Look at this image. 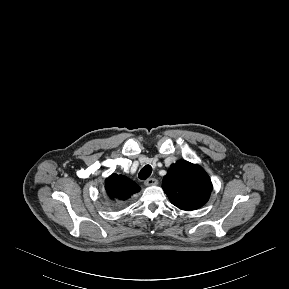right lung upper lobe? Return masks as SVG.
Here are the masks:
<instances>
[{"instance_id": "cb5924a9", "label": "right lung upper lobe", "mask_w": 289, "mask_h": 289, "mask_svg": "<svg viewBox=\"0 0 289 289\" xmlns=\"http://www.w3.org/2000/svg\"><path fill=\"white\" fill-rule=\"evenodd\" d=\"M105 190L114 200H126L137 193L140 187L126 176L114 173L106 179Z\"/></svg>"}]
</instances>
